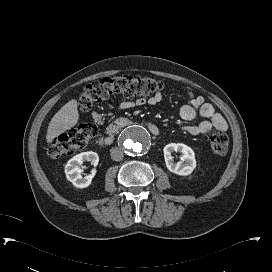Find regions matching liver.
Instances as JSON below:
<instances>
[{"label": "liver", "mask_w": 272, "mask_h": 272, "mask_svg": "<svg viewBox=\"0 0 272 272\" xmlns=\"http://www.w3.org/2000/svg\"><path fill=\"white\" fill-rule=\"evenodd\" d=\"M77 106V100L72 99L53 116L47 129V143H51L57 136L78 123L79 112Z\"/></svg>", "instance_id": "1"}]
</instances>
